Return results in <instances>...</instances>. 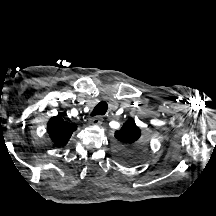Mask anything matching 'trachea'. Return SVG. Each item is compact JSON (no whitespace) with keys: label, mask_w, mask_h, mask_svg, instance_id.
Listing matches in <instances>:
<instances>
[{"label":"trachea","mask_w":216,"mask_h":216,"mask_svg":"<svg viewBox=\"0 0 216 216\" xmlns=\"http://www.w3.org/2000/svg\"><path fill=\"white\" fill-rule=\"evenodd\" d=\"M107 109H108V104L105 101H101L95 106L90 116L94 117L98 115H104Z\"/></svg>","instance_id":"1"}]
</instances>
